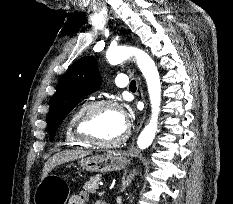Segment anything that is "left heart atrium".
<instances>
[{"label":"left heart atrium","instance_id":"obj_1","mask_svg":"<svg viewBox=\"0 0 233 204\" xmlns=\"http://www.w3.org/2000/svg\"><path fill=\"white\" fill-rule=\"evenodd\" d=\"M122 119H123L124 125L126 126V119H125V117L123 115H122Z\"/></svg>","mask_w":233,"mask_h":204}]
</instances>
